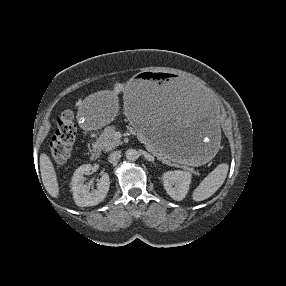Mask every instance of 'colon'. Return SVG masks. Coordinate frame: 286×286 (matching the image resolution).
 <instances>
[{
	"instance_id": "colon-1",
	"label": "colon",
	"mask_w": 286,
	"mask_h": 286,
	"mask_svg": "<svg viewBox=\"0 0 286 286\" xmlns=\"http://www.w3.org/2000/svg\"><path fill=\"white\" fill-rule=\"evenodd\" d=\"M76 136L73 112L65 109L57 119L55 134L50 143V153L56 167H61L70 159Z\"/></svg>"
}]
</instances>
